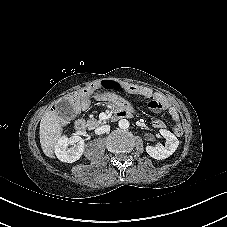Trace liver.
<instances>
[{
  "instance_id": "liver-1",
  "label": "liver",
  "mask_w": 227,
  "mask_h": 227,
  "mask_svg": "<svg viewBox=\"0 0 227 227\" xmlns=\"http://www.w3.org/2000/svg\"><path fill=\"white\" fill-rule=\"evenodd\" d=\"M64 124V120L51 107L42 116L39 131L40 144L43 153L48 158L55 159V148L62 139Z\"/></svg>"
}]
</instances>
